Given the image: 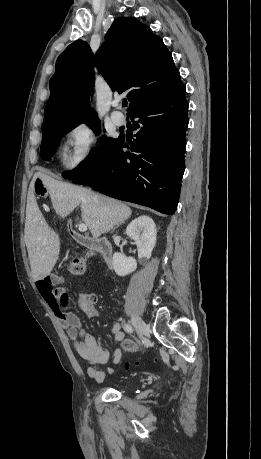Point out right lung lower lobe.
<instances>
[{
  "label": "right lung lower lobe",
  "mask_w": 261,
  "mask_h": 459,
  "mask_svg": "<svg viewBox=\"0 0 261 459\" xmlns=\"http://www.w3.org/2000/svg\"><path fill=\"white\" fill-rule=\"evenodd\" d=\"M181 82L165 96L141 104L130 112L136 119V139L119 137L105 161L73 179L110 197L173 214L179 201L185 169V132L188 102ZM127 147L130 151L124 152Z\"/></svg>",
  "instance_id": "98d812e1"
}]
</instances>
